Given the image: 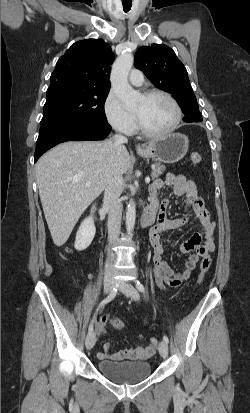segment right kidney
I'll return each instance as SVG.
<instances>
[{
  "label": "right kidney",
  "mask_w": 250,
  "mask_h": 413,
  "mask_svg": "<svg viewBox=\"0 0 250 413\" xmlns=\"http://www.w3.org/2000/svg\"><path fill=\"white\" fill-rule=\"evenodd\" d=\"M96 233V228L92 217H87L81 223L75 240V248L79 251L86 249L92 242Z\"/></svg>",
  "instance_id": "1"
}]
</instances>
